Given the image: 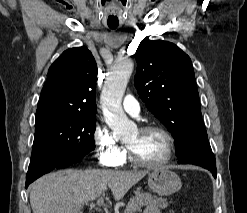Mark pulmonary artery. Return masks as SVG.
Returning <instances> with one entry per match:
<instances>
[{"label": "pulmonary artery", "instance_id": "pulmonary-artery-1", "mask_svg": "<svg viewBox=\"0 0 247 213\" xmlns=\"http://www.w3.org/2000/svg\"><path fill=\"white\" fill-rule=\"evenodd\" d=\"M123 108L124 110L132 115V116H138L140 113V106L137 100L131 96L127 95L123 101Z\"/></svg>", "mask_w": 247, "mask_h": 213}]
</instances>
